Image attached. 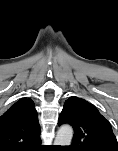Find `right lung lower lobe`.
<instances>
[{
	"mask_svg": "<svg viewBox=\"0 0 118 151\" xmlns=\"http://www.w3.org/2000/svg\"><path fill=\"white\" fill-rule=\"evenodd\" d=\"M39 148H40V145H38L37 149H39ZM37 149H36V150H37Z\"/></svg>",
	"mask_w": 118,
	"mask_h": 151,
	"instance_id": "obj_1",
	"label": "right lung lower lobe"
}]
</instances>
